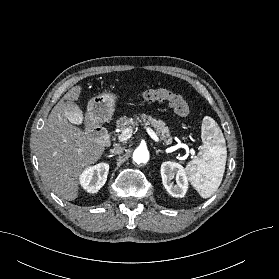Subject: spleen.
<instances>
[{"instance_id": "1", "label": "spleen", "mask_w": 279, "mask_h": 279, "mask_svg": "<svg viewBox=\"0 0 279 279\" xmlns=\"http://www.w3.org/2000/svg\"><path fill=\"white\" fill-rule=\"evenodd\" d=\"M201 132L203 145L185 170L192 186L206 199L217 191L222 182L227 149L223 133L213 118H203Z\"/></svg>"}]
</instances>
